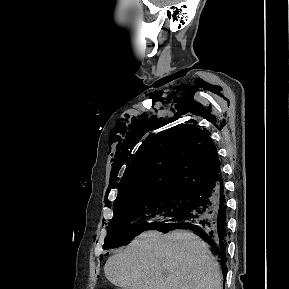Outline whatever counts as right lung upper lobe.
<instances>
[{
	"label": "right lung upper lobe",
	"mask_w": 289,
	"mask_h": 289,
	"mask_svg": "<svg viewBox=\"0 0 289 289\" xmlns=\"http://www.w3.org/2000/svg\"><path fill=\"white\" fill-rule=\"evenodd\" d=\"M209 134L180 124L146 139L121 179L114 204L159 192H195L217 180L221 165Z\"/></svg>",
	"instance_id": "obj_1"
}]
</instances>
